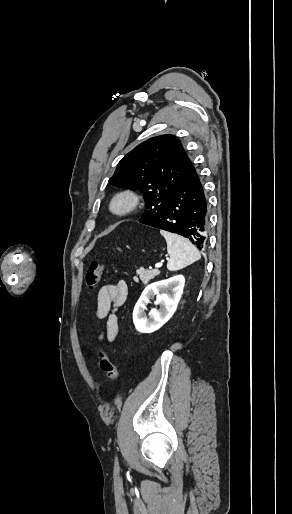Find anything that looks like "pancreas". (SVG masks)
Returning a JSON list of instances; mask_svg holds the SVG:
<instances>
[{
    "instance_id": "cf45deb5",
    "label": "pancreas",
    "mask_w": 292,
    "mask_h": 514,
    "mask_svg": "<svg viewBox=\"0 0 292 514\" xmlns=\"http://www.w3.org/2000/svg\"><path fill=\"white\" fill-rule=\"evenodd\" d=\"M136 274L140 276L142 284H148V282L153 280L155 276H158L160 272H158V270H145V268H140V270H137ZM133 280H135V282H139V278H137V276H134Z\"/></svg>"
}]
</instances>
